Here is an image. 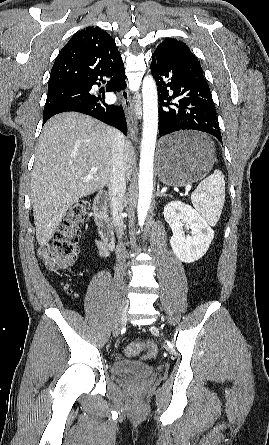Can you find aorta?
<instances>
[{"label": "aorta", "mask_w": 269, "mask_h": 445, "mask_svg": "<svg viewBox=\"0 0 269 445\" xmlns=\"http://www.w3.org/2000/svg\"><path fill=\"white\" fill-rule=\"evenodd\" d=\"M143 131L139 164L138 223L143 226L153 192V161L158 130L157 86L152 76H146L142 85Z\"/></svg>", "instance_id": "aorta-1"}]
</instances>
